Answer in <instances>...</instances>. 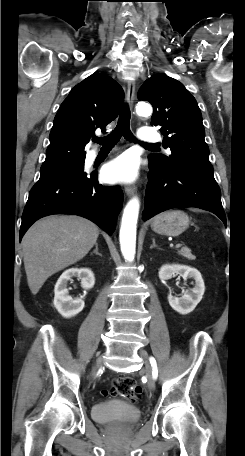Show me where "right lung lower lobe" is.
Instances as JSON below:
<instances>
[{
	"instance_id": "right-lung-lower-lobe-1",
	"label": "right lung lower lobe",
	"mask_w": 245,
	"mask_h": 456,
	"mask_svg": "<svg viewBox=\"0 0 245 456\" xmlns=\"http://www.w3.org/2000/svg\"><path fill=\"white\" fill-rule=\"evenodd\" d=\"M122 201L120 187L99 184L97 173L81 171L39 179L24 208L19 239L36 220L52 214L79 215L112 234Z\"/></svg>"
}]
</instances>
